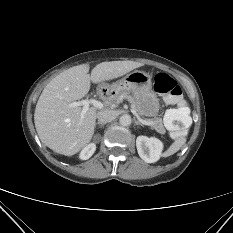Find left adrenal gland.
<instances>
[{
	"instance_id": "obj_1",
	"label": "left adrenal gland",
	"mask_w": 233,
	"mask_h": 233,
	"mask_svg": "<svg viewBox=\"0 0 233 233\" xmlns=\"http://www.w3.org/2000/svg\"><path fill=\"white\" fill-rule=\"evenodd\" d=\"M135 121V125H140V126H142L143 127V124L142 123H140L138 120H134Z\"/></svg>"
}]
</instances>
